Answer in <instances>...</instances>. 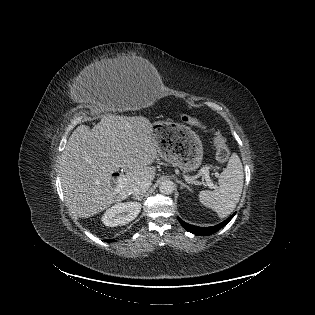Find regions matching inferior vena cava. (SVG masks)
Here are the masks:
<instances>
[{
	"mask_svg": "<svg viewBox=\"0 0 315 315\" xmlns=\"http://www.w3.org/2000/svg\"><path fill=\"white\" fill-rule=\"evenodd\" d=\"M151 181L150 180H142L137 182L131 189V194L134 196L144 195L146 191L150 188Z\"/></svg>",
	"mask_w": 315,
	"mask_h": 315,
	"instance_id": "inferior-vena-cava-1",
	"label": "inferior vena cava"
}]
</instances>
